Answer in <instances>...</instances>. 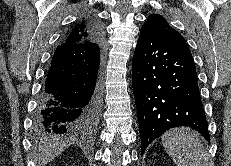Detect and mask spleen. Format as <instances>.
<instances>
[{
	"mask_svg": "<svg viewBox=\"0 0 231 166\" xmlns=\"http://www.w3.org/2000/svg\"><path fill=\"white\" fill-rule=\"evenodd\" d=\"M162 144L177 166H209V155L197 132L188 127L167 131L162 136Z\"/></svg>",
	"mask_w": 231,
	"mask_h": 166,
	"instance_id": "1",
	"label": "spleen"
}]
</instances>
